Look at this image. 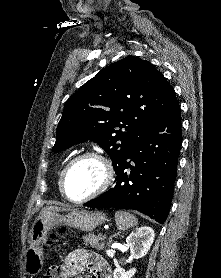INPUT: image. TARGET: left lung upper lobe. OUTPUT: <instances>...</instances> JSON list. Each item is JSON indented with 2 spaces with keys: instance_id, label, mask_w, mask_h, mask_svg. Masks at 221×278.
<instances>
[{
  "instance_id": "1",
  "label": "left lung upper lobe",
  "mask_w": 221,
  "mask_h": 278,
  "mask_svg": "<svg viewBox=\"0 0 221 278\" xmlns=\"http://www.w3.org/2000/svg\"><path fill=\"white\" fill-rule=\"evenodd\" d=\"M176 101L162 73L149 61L128 56L102 69L66 101L53 151L91 140L109 154L115 168Z\"/></svg>"
}]
</instances>
